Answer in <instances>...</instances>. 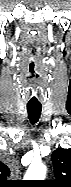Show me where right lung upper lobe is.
Wrapping results in <instances>:
<instances>
[{
  "label": "right lung upper lobe",
  "instance_id": "obj_1",
  "mask_svg": "<svg viewBox=\"0 0 71 187\" xmlns=\"http://www.w3.org/2000/svg\"><path fill=\"white\" fill-rule=\"evenodd\" d=\"M9 173V168L6 165H2L1 174L4 180L9 176Z\"/></svg>",
  "mask_w": 71,
  "mask_h": 187
}]
</instances>
